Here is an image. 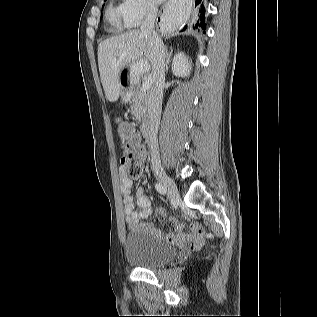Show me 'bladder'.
I'll use <instances>...</instances> for the list:
<instances>
[{"mask_svg": "<svg viewBox=\"0 0 317 317\" xmlns=\"http://www.w3.org/2000/svg\"><path fill=\"white\" fill-rule=\"evenodd\" d=\"M124 254L127 262L136 267L157 269L174 260L178 255V249L160 242L143 227H138L127 233Z\"/></svg>", "mask_w": 317, "mask_h": 317, "instance_id": "1", "label": "bladder"}]
</instances>
